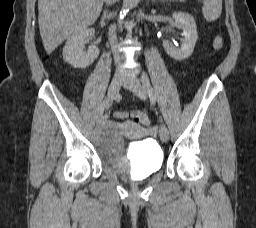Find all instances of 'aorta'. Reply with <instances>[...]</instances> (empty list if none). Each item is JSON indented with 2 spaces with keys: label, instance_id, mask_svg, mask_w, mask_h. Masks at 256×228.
<instances>
[{
  "label": "aorta",
  "instance_id": "762f6f07",
  "mask_svg": "<svg viewBox=\"0 0 256 228\" xmlns=\"http://www.w3.org/2000/svg\"><path fill=\"white\" fill-rule=\"evenodd\" d=\"M138 2L139 0H123L121 13H128L132 8L137 5Z\"/></svg>",
  "mask_w": 256,
  "mask_h": 228
}]
</instances>
